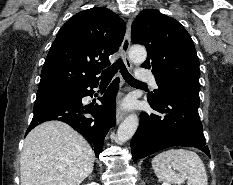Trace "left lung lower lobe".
<instances>
[{
  "mask_svg": "<svg viewBox=\"0 0 233 185\" xmlns=\"http://www.w3.org/2000/svg\"><path fill=\"white\" fill-rule=\"evenodd\" d=\"M200 87L179 86L158 103L150 105L160 114L141 113L140 126L131 140L133 161L171 146L196 147L210 157L199 119Z\"/></svg>",
  "mask_w": 233,
  "mask_h": 185,
  "instance_id": "1",
  "label": "left lung lower lobe"
}]
</instances>
